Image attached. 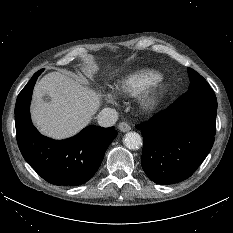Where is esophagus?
<instances>
[{"mask_svg":"<svg viewBox=\"0 0 233 233\" xmlns=\"http://www.w3.org/2000/svg\"><path fill=\"white\" fill-rule=\"evenodd\" d=\"M118 129L122 132H127L131 130V126L127 122H120L118 124Z\"/></svg>","mask_w":233,"mask_h":233,"instance_id":"34e87169","label":"esophagus"}]
</instances>
